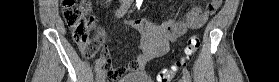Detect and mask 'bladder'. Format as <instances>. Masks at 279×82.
<instances>
[{
  "instance_id": "1",
  "label": "bladder",
  "mask_w": 279,
  "mask_h": 82,
  "mask_svg": "<svg viewBox=\"0 0 279 82\" xmlns=\"http://www.w3.org/2000/svg\"><path fill=\"white\" fill-rule=\"evenodd\" d=\"M114 82H153L145 72H131Z\"/></svg>"
}]
</instances>
